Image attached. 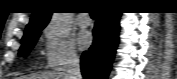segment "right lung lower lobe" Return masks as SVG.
<instances>
[{"instance_id": "obj_1", "label": "right lung lower lobe", "mask_w": 177, "mask_h": 79, "mask_svg": "<svg viewBox=\"0 0 177 79\" xmlns=\"http://www.w3.org/2000/svg\"><path fill=\"white\" fill-rule=\"evenodd\" d=\"M120 15L116 11L99 13L93 29V45L81 57L84 79H107L119 42Z\"/></svg>"}]
</instances>
